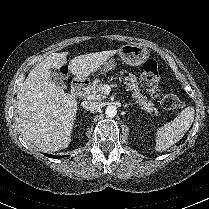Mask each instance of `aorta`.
Returning <instances> with one entry per match:
<instances>
[{
  "instance_id": "obj_1",
  "label": "aorta",
  "mask_w": 209,
  "mask_h": 209,
  "mask_svg": "<svg viewBox=\"0 0 209 209\" xmlns=\"http://www.w3.org/2000/svg\"><path fill=\"white\" fill-rule=\"evenodd\" d=\"M105 113L108 117L112 118L115 117L117 114V109L115 106H108L105 110Z\"/></svg>"
}]
</instances>
